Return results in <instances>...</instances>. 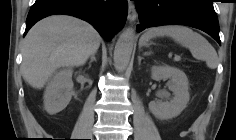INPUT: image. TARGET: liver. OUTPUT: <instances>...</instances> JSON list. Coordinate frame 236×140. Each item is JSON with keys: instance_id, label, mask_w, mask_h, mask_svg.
Returning a JSON list of instances; mask_svg holds the SVG:
<instances>
[{"instance_id": "obj_1", "label": "liver", "mask_w": 236, "mask_h": 140, "mask_svg": "<svg viewBox=\"0 0 236 140\" xmlns=\"http://www.w3.org/2000/svg\"><path fill=\"white\" fill-rule=\"evenodd\" d=\"M100 42L99 33L78 18L53 15L42 19L23 41V78L31 87L41 89L58 68L84 65Z\"/></svg>"}]
</instances>
